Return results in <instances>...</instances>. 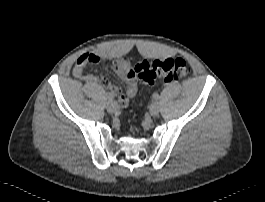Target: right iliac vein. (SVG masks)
<instances>
[{
    "label": "right iliac vein",
    "mask_w": 265,
    "mask_h": 202,
    "mask_svg": "<svg viewBox=\"0 0 265 202\" xmlns=\"http://www.w3.org/2000/svg\"><path fill=\"white\" fill-rule=\"evenodd\" d=\"M107 111L110 113V114H113L115 113L117 110H118V104L117 102L111 100L109 101V103L107 104Z\"/></svg>",
    "instance_id": "1"
}]
</instances>
